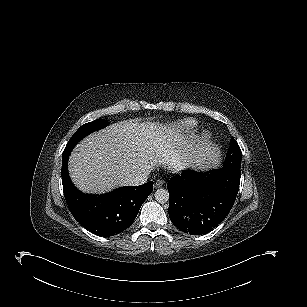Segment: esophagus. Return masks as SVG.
Returning a JSON list of instances; mask_svg holds the SVG:
<instances>
[{"label": "esophagus", "mask_w": 307, "mask_h": 307, "mask_svg": "<svg viewBox=\"0 0 307 307\" xmlns=\"http://www.w3.org/2000/svg\"><path fill=\"white\" fill-rule=\"evenodd\" d=\"M164 184V181L161 179L156 180V182L154 183V188H160L162 185Z\"/></svg>", "instance_id": "obj_1"}]
</instances>
